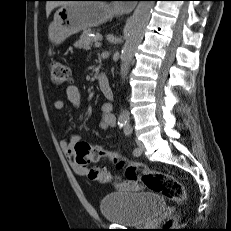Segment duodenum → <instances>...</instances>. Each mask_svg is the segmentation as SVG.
Instances as JSON below:
<instances>
[{
  "label": "duodenum",
  "mask_w": 231,
  "mask_h": 231,
  "mask_svg": "<svg viewBox=\"0 0 231 231\" xmlns=\"http://www.w3.org/2000/svg\"><path fill=\"white\" fill-rule=\"evenodd\" d=\"M97 79H98V84H99L100 90L102 91L104 96L107 99L112 100L114 98V92H113V89H112L107 77L103 74H99Z\"/></svg>",
  "instance_id": "obj_1"
}]
</instances>
